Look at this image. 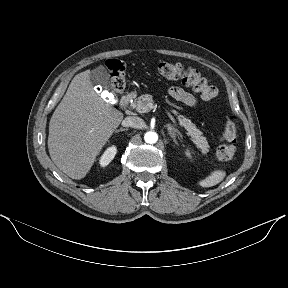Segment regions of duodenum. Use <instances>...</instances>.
<instances>
[{"label": "duodenum", "mask_w": 288, "mask_h": 288, "mask_svg": "<svg viewBox=\"0 0 288 288\" xmlns=\"http://www.w3.org/2000/svg\"><path fill=\"white\" fill-rule=\"evenodd\" d=\"M133 99L132 93H126L121 97L120 105L122 108H127L131 100Z\"/></svg>", "instance_id": "obj_1"}]
</instances>
